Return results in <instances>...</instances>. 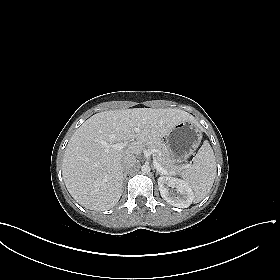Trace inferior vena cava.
Returning a JSON list of instances; mask_svg holds the SVG:
<instances>
[{
    "mask_svg": "<svg viewBox=\"0 0 280 280\" xmlns=\"http://www.w3.org/2000/svg\"><path fill=\"white\" fill-rule=\"evenodd\" d=\"M136 163V157L134 155H127L123 158L122 167L125 172L131 169Z\"/></svg>",
    "mask_w": 280,
    "mask_h": 280,
    "instance_id": "obj_1",
    "label": "inferior vena cava"
}]
</instances>
